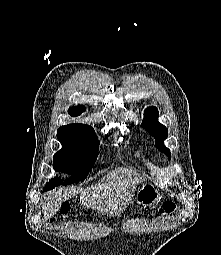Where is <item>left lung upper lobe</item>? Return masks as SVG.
<instances>
[{
  "instance_id": "obj_1",
  "label": "left lung upper lobe",
  "mask_w": 221,
  "mask_h": 255,
  "mask_svg": "<svg viewBox=\"0 0 221 255\" xmlns=\"http://www.w3.org/2000/svg\"><path fill=\"white\" fill-rule=\"evenodd\" d=\"M142 126L155 138L156 147L170 159V150L163 143L167 138L168 131L165 126L158 122V110L156 107L151 106L145 109Z\"/></svg>"
}]
</instances>
